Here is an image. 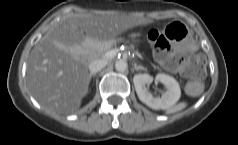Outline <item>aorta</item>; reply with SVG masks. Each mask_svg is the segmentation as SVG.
I'll return each instance as SVG.
<instances>
[{"label":"aorta","instance_id":"1","mask_svg":"<svg viewBox=\"0 0 238 145\" xmlns=\"http://www.w3.org/2000/svg\"><path fill=\"white\" fill-rule=\"evenodd\" d=\"M127 68H128V64L125 60L120 59L115 62V69L118 72H124L127 70Z\"/></svg>","mask_w":238,"mask_h":145}]
</instances>
